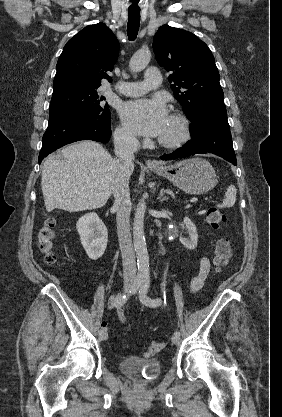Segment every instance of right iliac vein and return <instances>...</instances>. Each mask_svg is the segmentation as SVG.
Instances as JSON below:
<instances>
[{
    "label": "right iliac vein",
    "mask_w": 282,
    "mask_h": 417,
    "mask_svg": "<svg viewBox=\"0 0 282 417\" xmlns=\"http://www.w3.org/2000/svg\"><path fill=\"white\" fill-rule=\"evenodd\" d=\"M131 289H132V284L131 283H126L124 285V291L125 292H129V291H131ZM99 338H100V340H107V338H108L107 332L106 331L100 332Z\"/></svg>",
    "instance_id": "1"
}]
</instances>
